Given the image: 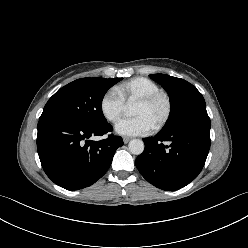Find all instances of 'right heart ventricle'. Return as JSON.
Returning <instances> with one entry per match:
<instances>
[{"instance_id":"e07e8e85","label":"right heart ventricle","mask_w":248,"mask_h":248,"mask_svg":"<svg viewBox=\"0 0 248 248\" xmlns=\"http://www.w3.org/2000/svg\"><path fill=\"white\" fill-rule=\"evenodd\" d=\"M115 90L125 103H132L142 97L160 92V87L148 78L136 77L118 85Z\"/></svg>"}]
</instances>
